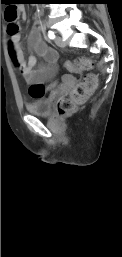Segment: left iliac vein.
I'll use <instances>...</instances> for the list:
<instances>
[{
	"instance_id": "obj_1",
	"label": "left iliac vein",
	"mask_w": 122,
	"mask_h": 257,
	"mask_svg": "<svg viewBox=\"0 0 122 257\" xmlns=\"http://www.w3.org/2000/svg\"><path fill=\"white\" fill-rule=\"evenodd\" d=\"M55 43H56L57 46L62 47V48L66 46L64 40H63L62 37L59 36V35L56 36V38H55Z\"/></svg>"
}]
</instances>
